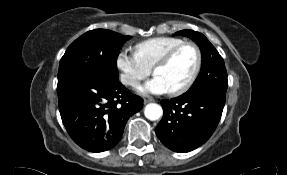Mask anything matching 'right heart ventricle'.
I'll return each mask as SVG.
<instances>
[{
    "label": "right heart ventricle",
    "mask_w": 287,
    "mask_h": 175,
    "mask_svg": "<svg viewBox=\"0 0 287 175\" xmlns=\"http://www.w3.org/2000/svg\"><path fill=\"white\" fill-rule=\"evenodd\" d=\"M182 42H184V40L178 37H155L137 43L135 49L141 60L148 67L152 68L160 57Z\"/></svg>",
    "instance_id": "obj_1"
}]
</instances>
